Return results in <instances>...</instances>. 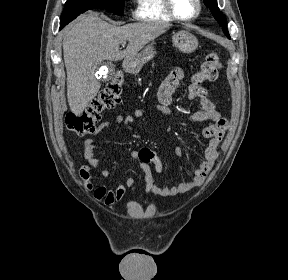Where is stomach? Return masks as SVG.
<instances>
[{
    "label": "stomach",
    "mask_w": 288,
    "mask_h": 280,
    "mask_svg": "<svg viewBox=\"0 0 288 280\" xmlns=\"http://www.w3.org/2000/svg\"><path fill=\"white\" fill-rule=\"evenodd\" d=\"M173 45L183 53H192L198 47L197 38L187 30H181L172 37ZM156 51L153 44L147 45L140 53L133 57L126 58L125 65L135 71H139L145 63L150 61Z\"/></svg>",
    "instance_id": "0dacf381"
}]
</instances>
